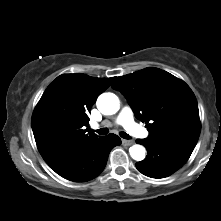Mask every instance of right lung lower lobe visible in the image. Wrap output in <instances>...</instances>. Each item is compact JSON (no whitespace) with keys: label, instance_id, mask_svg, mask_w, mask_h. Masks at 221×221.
<instances>
[{"label":"right lung lower lobe","instance_id":"obj_1","mask_svg":"<svg viewBox=\"0 0 221 221\" xmlns=\"http://www.w3.org/2000/svg\"><path fill=\"white\" fill-rule=\"evenodd\" d=\"M120 144L121 140L117 135L109 134L46 163L65 179L86 182L103 171L111 149Z\"/></svg>","mask_w":221,"mask_h":221}]
</instances>
